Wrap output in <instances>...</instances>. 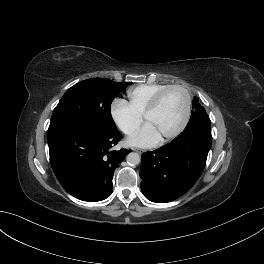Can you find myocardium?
I'll list each match as a JSON object with an SVG mask.
<instances>
[{"instance_id":"myocardium-1","label":"myocardium","mask_w":264,"mask_h":264,"mask_svg":"<svg viewBox=\"0 0 264 264\" xmlns=\"http://www.w3.org/2000/svg\"><path fill=\"white\" fill-rule=\"evenodd\" d=\"M180 90L184 93L185 95V107H184V113H183V118L181 120V123L179 124V126L171 133L165 135L164 137H162V141L163 142H167L170 141L174 138H176L177 136H179L184 129L186 128L189 118H190V112H191V96L189 91L182 85H169L166 88L162 89L160 92H158L155 97L152 99V101L150 102V104L147 106V108L145 109L144 113H143V119L146 121L147 117L154 112L160 105L161 101L163 100L164 96L171 90Z\"/></svg>"}]
</instances>
